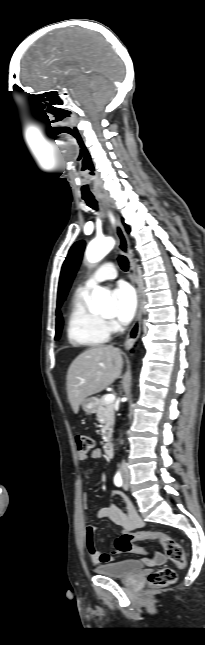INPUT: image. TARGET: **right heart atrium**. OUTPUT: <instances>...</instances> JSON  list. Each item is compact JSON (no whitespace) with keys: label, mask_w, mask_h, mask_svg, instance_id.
Returning a JSON list of instances; mask_svg holds the SVG:
<instances>
[{"label":"right heart atrium","mask_w":205,"mask_h":645,"mask_svg":"<svg viewBox=\"0 0 205 645\" xmlns=\"http://www.w3.org/2000/svg\"><path fill=\"white\" fill-rule=\"evenodd\" d=\"M108 326H109V328H111V329H114V328H115V324H114V322H110V323L108 324Z\"/></svg>","instance_id":"right-heart-atrium-1"}]
</instances>
